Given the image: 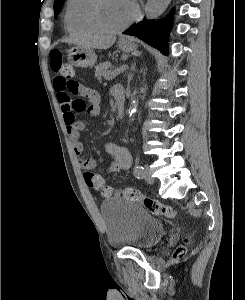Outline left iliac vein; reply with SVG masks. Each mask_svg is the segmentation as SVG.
<instances>
[{
  "mask_svg": "<svg viewBox=\"0 0 245 300\" xmlns=\"http://www.w3.org/2000/svg\"><path fill=\"white\" fill-rule=\"evenodd\" d=\"M143 177L144 180L148 183V184H153L154 183V179L151 176V172L149 170V168L147 166H145L144 170H143Z\"/></svg>",
  "mask_w": 245,
  "mask_h": 300,
  "instance_id": "4c4485c4",
  "label": "left iliac vein"
}]
</instances>
